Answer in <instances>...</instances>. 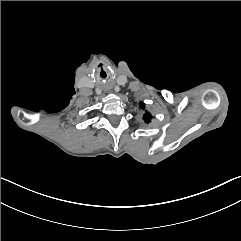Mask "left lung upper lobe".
Returning a JSON list of instances; mask_svg holds the SVG:
<instances>
[{
	"label": "left lung upper lobe",
	"mask_w": 241,
	"mask_h": 241,
	"mask_svg": "<svg viewBox=\"0 0 241 241\" xmlns=\"http://www.w3.org/2000/svg\"><path fill=\"white\" fill-rule=\"evenodd\" d=\"M141 107L144 109L145 108L144 104H141ZM151 118H152V116H151V114L149 112H146L144 114V121L146 123H149L151 121Z\"/></svg>",
	"instance_id": "1"
}]
</instances>
